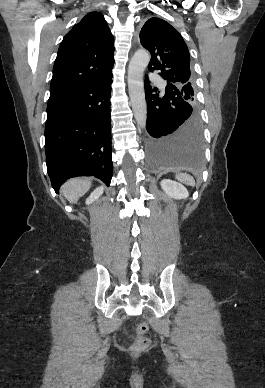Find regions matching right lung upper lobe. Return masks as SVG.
<instances>
[{
  "instance_id": "obj_1",
  "label": "right lung upper lobe",
  "mask_w": 265,
  "mask_h": 388,
  "mask_svg": "<svg viewBox=\"0 0 265 388\" xmlns=\"http://www.w3.org/2000/svg\"><path fill=\"white\" fill-rule=\"evenodd\" d=\"M114 39L103 15L90 12L63 38L54 63L50 97L112 75Z\"/></svg>"
}]
</instances>
